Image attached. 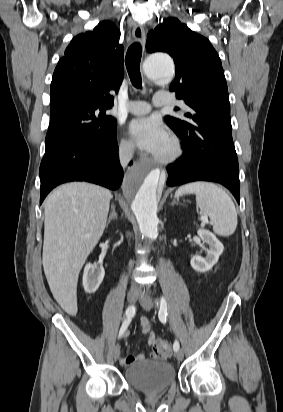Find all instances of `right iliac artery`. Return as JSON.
Masks as SVG:
<instances>
[{
  "label": "right iliac artery",
  "mask_w": 283,
  "mask_h": 412,
  "mask_svg": "<svg viewBox=\"0 0 283 412\" xmlns=\"http://www.w3.org/2000/svg\"><path fill=\"white\" fill-rule=\"evenodd\" d=\"M135 313H136L135 305H131L127 308V310H126V319H125V321L123 322V324L120 328L118 338L122 337L123 333L125 332L128 325L130 324V322H131L132 318L134 317Z\"/></svg>",
  "instance_id": "82829eb1"
}]
</instances>
